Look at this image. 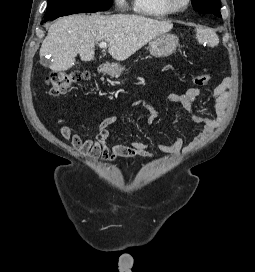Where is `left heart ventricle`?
<instances>
[{
  "label": "left heart ventricle",
  "mask_w": 255,
  "mask_h": 272,
  "mask_svg": "<svg viewBox=\"0 0 255 272\" xmlns=\"http://www.w3.org/2000/svg\"><path fill=\"white\" fill-rule=\"evenodd\" d=\"M184 0H175V3L178 4V5H181L183 4Z\"/></svg>",
  "instance_id": "obj_1"
}]
</instances>
